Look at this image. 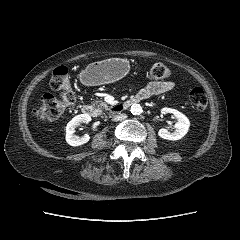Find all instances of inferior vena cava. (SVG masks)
Listing matches in <instances>:
<instances>
[{"mask_svg":"<svg viewBox=\"0 0 240 240\" xmlns=\"http://www.w3.org/2000/svg\"><path fill=\"white\" fill-rule=\"evenodd\" d=\"M110 118H112L113 121H119V120L125 119L126 114H124V113H112L110 115Z\"/></svg>","mask_w":240,"mask_h":240,"instance_id":"obj_1","label":"inferior vena cava"}]
</instances>
